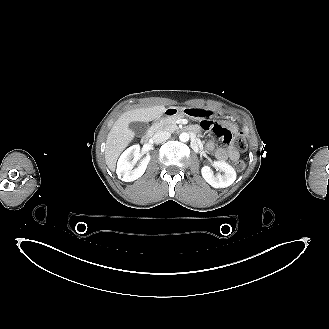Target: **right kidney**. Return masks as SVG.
I'll return each instance as SVG.
<instances>
[{
    "label": "right kidney",
    "instance_id": "obj_1",
    "mask_svg": "<svg viewBox=\"0 0 329 329\" xmlns=\"http://www.w3.org/2000/svg\"><path fill=\"white\" fill-rule=\"evenodd\" d=\"M140 145H133L127 148L120 156L117 162L116 173L118 178L125 182H131L140 178L150 161V155L147 154L146 157L141 160L137 167H133V164L139 157Z\"/></svg>",
    "mask_w": 329,
    "mask_h": 329
}]
</instances>
